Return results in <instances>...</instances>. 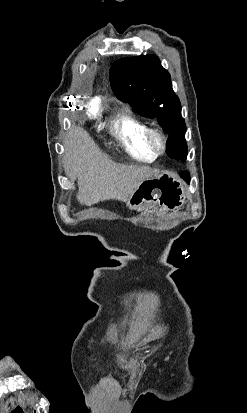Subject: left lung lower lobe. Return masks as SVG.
Here are the masks:
<instances>
[{
  "label": "left lung lower lobe",
  "instance_id": "obj_1",
  "mask_svg": "<svg viewBox=\"0 0 247 413\" xmlns=\"http://www.w3.org/2000/svg\"><path fill=\"white\" fill-rule=\"evenodd\" d=\"M180 176L187 182H190V174L188 172H182L180 173Z\"/></svg>",
  "mask_w": 247,
  "mask_h": 413
}]
</instances>
